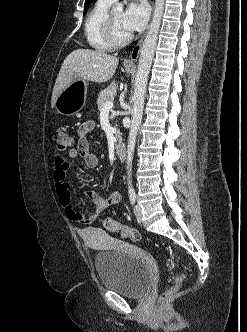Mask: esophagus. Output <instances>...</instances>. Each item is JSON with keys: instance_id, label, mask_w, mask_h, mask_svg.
Returning <instances> with one entry per match:
<instances>
[{"instance_id": "1", "label": "esophagus", "mask_w": 247, "mask_h": 332, "mask_svg": "<svg viewBox=\"0 0 247 332\" xmlns=\"http://www.w3.org/2000/svg\"><path fill=\"white\" fill-rule=\"evenodd\" d=\"M150 3L153 7L154 6V0H150ZM146 34H147V31L142 35V37L140 38L138 43L135 45V47L131 51L129 57L125 60L124 64L126 66H135L136 61L139 57L141 47H142V44H143V41H144V38H145Z\"/></svg>"}]
</instances>
